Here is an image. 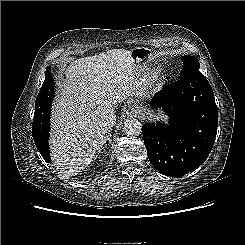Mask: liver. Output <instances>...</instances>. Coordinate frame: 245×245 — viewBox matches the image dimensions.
Returning a JSON list of instances; mask_svg holds the SVG:
<instances>
[{
	"label": "liver",
	"mask_w": 245,
	"mask_h": 245,
	"mask_svg": "<svg viewBox=\"0 0 245 245\" xmlns=\"http://www.w3.org/2000/svg\"><path fill=\"white\" fill-rule=\"evenodd\" d=\"M138 67L130 51L112 49L66 68V78L58 82L50 139L52 159L63 176L85 169L106 142L110 129L97 108L140 94Z\"/></svg>",
	"instance_id": "obj_1"
}]
</instances>
